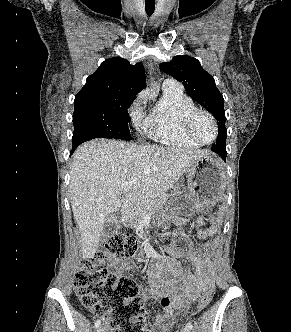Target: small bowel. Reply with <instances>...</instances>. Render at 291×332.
<instances>
[{
  "label": "small bowel",
  "instance_id": "obj_1",
  "mask_svg": "<svg viewBox=\"0 0 291 332\" xmlns=\"http://www.w3.org/2000/svg\"><path fill=\"white\" fill-rule=\"evenodd\" d=\"M174 222L179 226L173 233V243L168 247L166 255H158L150 246L145 248L152 260L146 269L149 288L143 291L142 296L144 299H157L162 308V312L155 317L150 332H168L173 324L175 310L185 308L202 293L212 290L214 285L207 258L211 242L199 248H191L183 222L178 218ZM196 223L198 235L205 238V230L201 228L203 219L199 218ZM219 226V223L210 226L213 234L218 231ZM177 258L194 261L198 273L194 276L185 273L177 263ZM112 266L120 273L135 268L128 260L115 262Z\"/></svg>",
  "mask_w": 291,
  "mask_h": 332
}]
</instances>
